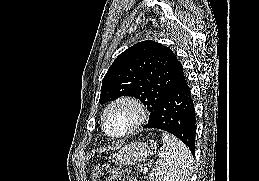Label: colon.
I'll return each mask as SVG.
<instances>
[{
  "instance_id": "colon-1",
  "label": "colon",
  "mask_w": 259,
  "mask_h": 181,
  "mask_svg": "<svg viewBox=\"0 0 259 181\" xmlns=\"http://www.w3.org/2000/svg\"><path fill=\"white\" fill-rule=\"evenodd\" d=\"M93 181H134L128 169L99 164L93 169Z\"/></svg>"
}]
</instances>
